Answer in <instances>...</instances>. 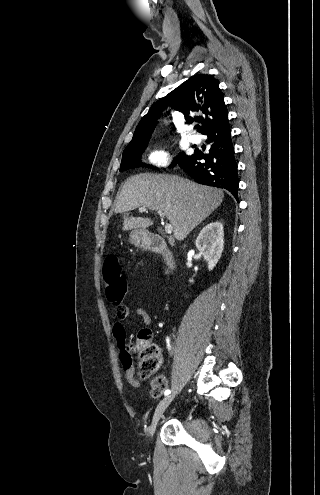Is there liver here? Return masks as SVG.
I'll return each mask as SVG.
<instances>
[{
  "label": "liver",
  "mask_w": 320,
  "mask_h": 495,
  "mask_svg": "<svg viewBox=\"0 0 320 495\" xmlns=\"http://www.w3.org/2000/svg\"><path fill=\"white\" fill-rule=\"evenodd\" d=\"M223 199L222 190L178 176L139 174L125 181L115 213L123 215V231H144L153 221L129 217L128 212L142 207L162 211L173 227L174 237L181 241L217 209Z\"/></svg>",
  "instance_id": "6515ba94"
}]
</instances>
